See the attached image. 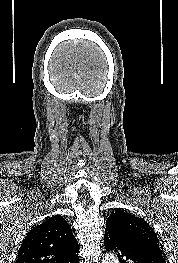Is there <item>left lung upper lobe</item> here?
Masks as SVG:
<instances>
[{"instance_id": "5c2ea615", "label": "left lung upper lobe", "mask_w": 178, "mask_h": 263, "mask_svg": "<svg viewBox=\"0 0 178 263\" xmlns=\"http://www.w3.org/2000/svg\"><path fill=\"white\" fill-rule=\"evenodd\" d=\"M106 222H113L124 229L143 235L159 243L156 233L146 221L123 210H115L107 218Z\"/></svg>"}]
</instances>
